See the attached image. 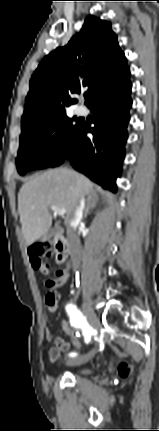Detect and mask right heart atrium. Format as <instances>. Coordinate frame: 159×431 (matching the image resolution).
<instances>
[{"label":"right heart atrium","instance_id":"d8ad5b80","mask_svg":"<svg viewBox=\"0 0 159 431\" xmlns=\"http://www.w3.org/2000/svg\"><path fill=\"white\" fill-rule=\"evenodd\" d=\"M53 144H54V137H53V136H51V137L48 139V146L51 148V147L53 146Z\"/></svg>","mask_w":159,"mask_h":431}]
</instances>
